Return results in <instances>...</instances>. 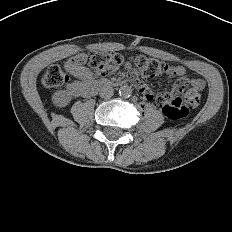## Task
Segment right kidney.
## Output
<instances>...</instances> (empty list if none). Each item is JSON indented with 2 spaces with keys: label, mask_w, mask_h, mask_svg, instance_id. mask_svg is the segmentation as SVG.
<instances>
[{
  "label": "right kidney",
  "mask_w": 232,
  "mask_h": 232,
  "mask_svg": "<svg viewBox=\"0 0 232 232\" xmlns=\"http://www.w3.org/2000/svg\"><path fill=\"white\" fill-rule=\"evenodd\" d=\"M71 99V95L65 90H58L52 95V102L57 107L67 106Z\"/></svg>",
  "instance_id": "1"
}]
</instances>
